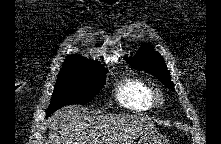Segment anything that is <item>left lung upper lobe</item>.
<instances>
[{
  "mask_svg": "<svg viewBox=\"0 0 221 144\" xmlns=\"http://www.w3.org/2000/svg\"><path fill=\"white\" fill-rule=\"evenodd\" d=\"M126 60L132 67L151 73L174 91L164 58L158 52L153 51L149 45L142 47L134 57L126 58Z\"/></svg>",
  "mask_w": 221,
  "mask_h": 144,
  "instance_id": "5c2ea615",
  "label": "left lung upper lobe"
}]
</instances>
